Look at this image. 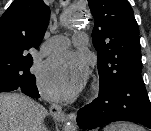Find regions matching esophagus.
<instances>
[{
	"mask_svg": "<svg viewBox=\"0 0 151 131\" xmlns=\"http://www.w3.org/2000/svg\"><path fill=\"white\" fill-rule=\"evenodd\" d=\"M49 110L52 117L55 118L56 120L65 121L68 118L75 119V115L73 114L67 115L59 104L56 103L51 104Z\"/></svg>",
	"mask_w": 151,
	"mask_h": 131,
	"instance_id": "obj_1",
	"label": "esophagus"
}]
</instances>
